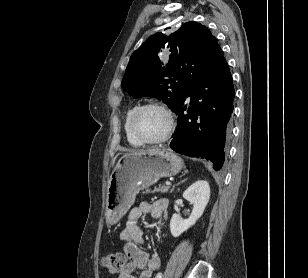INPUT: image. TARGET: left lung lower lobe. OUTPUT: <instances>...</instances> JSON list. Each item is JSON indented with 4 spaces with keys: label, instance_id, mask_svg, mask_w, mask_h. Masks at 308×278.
Wrapping results in <instances>:
<instances>
[{
    "label": "left lung lower lobe",
    "instance_id": "0a47b994",
    "mask_svg": "<svg viewBox=\"0 0 308 278\" xmlns=\"http://www.w3.org/2000/svg\"><path fill=\"white\" fill-rule=\"evenodd\" d=\"M235 90L228 64L223 58L187 92L175 110L178 126L170 147L177 153L201 157L221 169L231 133V116ZM191 107L185 114V100Z\"/></svg>",
    "mask_w": 308,
    "mask_h": 278
}]
</instances>
